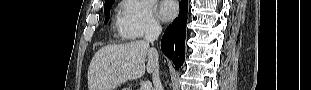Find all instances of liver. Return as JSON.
I'll return each mask as SVG.
<instances>
[{
  "label": "liver",
  "mask_w": 311,
  "mask_h": 90,
  "mask_svg": "<svg viewBox=\"0 0 311 90\" xmlns=\"http://www.w3.org/2000/svg\"><path fill=\"white\" fill-rule=\"evenodd\" d=\"M147 61V64L145 62ZM158 53L144 40L108 45L98 50L88 69L89 90H114L117 86L152 73Z\"/></svg>",
  "instance_id": "1"
}]
</instances>
